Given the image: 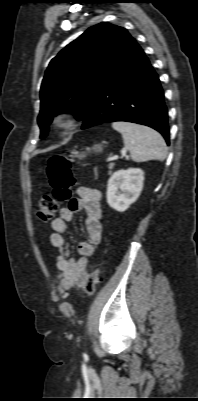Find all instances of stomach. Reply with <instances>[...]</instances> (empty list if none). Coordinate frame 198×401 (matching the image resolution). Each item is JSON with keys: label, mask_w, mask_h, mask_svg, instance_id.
Instances as JSON below:
<instances>
[{"label": "stomach", "mask_w": 198, "mask_h": 401, "mask_svg": "<svg viewBox=\"0 0 198 401\" xmlns=\"http://www.w3.org/2000/svg\"><path fill=\"white\" fill-rule=\"evenodd\" d=\"M106 143H107L106 141H103L102 143L95 144L92 148L87 149V152H91V151H94V152H102L103 146H104V144H106ZM72 153H73V155H74L75 157H77V158H79V159H82V158L86 157V153H84V152L80 153V152H78V151H73Z\"/></svg>", "instance_id": "obj_1"}]
</instances>
